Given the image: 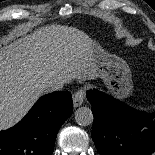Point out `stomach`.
Here are the masks:
<instances>
[{"label":"stomach","mask_w":155,"mask_h":155,"mask_svg":"<svg viewBox=\"0 0 155 155\" xmlns=\"http://www.w3.org/2000/svg\"><path fill=\"white\" fill-rule=\"evenodd\" d=\"M92 57L107 91L118 99L130 96L133 90L129 65L121 57L105 51L90 39Z\"/></svg>","instance_id":"0dacf381"}]
</instances>
